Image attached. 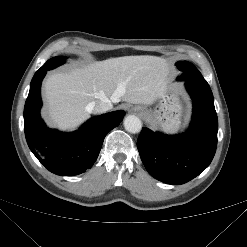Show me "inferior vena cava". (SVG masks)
Listing matches in <instances>:
<instances>
[{
  "label": "inferior vena cava",
  "mask_w": 247,
  "mask_h": 247,
  "mask_svg": "<svg viewBox=\"0 0 247 247\" xmlns=\"http://www.w3.org/2000/svg\"><path fill=\"white\" fill-rule=\"evenodd\" d=\"M113 108L111 101L108 98H103L101 100L93 101L88 104L87 110L94 111L95 113H104Z\"/></svg>",
  "instance_id": "1"
}]
</instances>
